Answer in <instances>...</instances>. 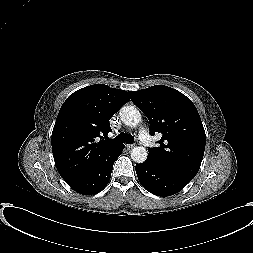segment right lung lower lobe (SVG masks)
I'll list each match as a JSON object with an SVG mask.
<instances>
[{"label":"right lung lower lobe","mask_w":253,"mask_h":253,"mask_svg":"<svg viewBox=\"0 0 253 253\" xmlns=\"http://www.w3.org/2000/svg\"><path fill=\"white\" fill-rule=\"evenodd\" d=\"M123 148L124 145L120 144L91 170L64 180L72 189L80 194L92 195L102 191L110 180L113 164L122 154Z\"/></svg>","instance_id":"right-lung-lower-lobe-1"}]
</instances>
